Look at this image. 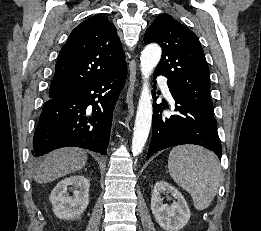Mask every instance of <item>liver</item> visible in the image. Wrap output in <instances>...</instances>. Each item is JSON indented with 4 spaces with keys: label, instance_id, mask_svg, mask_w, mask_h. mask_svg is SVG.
<instances>
[{
    "label": "liver",
    "instance_id": "liver-1",
    "mask_svg": "<svg viewBox=\"0 0 261 231\" xmlns=\"http://www.w3.org/2000/svg\"><path fill=\"white\" fill-rule=\"evenodd\" d=\"M87 161V154L79 148H62L49 153L37 170L35 181L49 183L67 174L79 171Z\"/></svg>",
    "mask_w": 261,
    "mask_h": 231
}]
</instances>
